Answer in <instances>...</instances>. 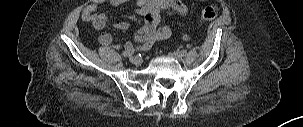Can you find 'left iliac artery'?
<instances>
[{
    "mask_svg": "<svg viewBox=\"0 0 303 127\" xmlns=\"http://www.w3.org/2000/svg\"><path fill=\"white\" fill-rule=\"evenodd\" d=\"M179 53L181 56H186V54H187L186 50H181Z\"/></svg>",
    "mask_w": 303,
    "mask_h": 127,
    "instance_id": "obj_1",
    "label": "left iliac artery"
}]
</instances>
